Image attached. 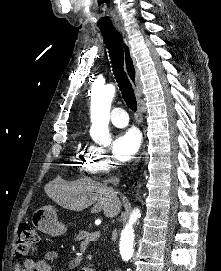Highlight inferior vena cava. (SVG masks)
<instances>
[{
    "mask_svg": "<svg viewBox=\"0 0 221 271\" xmlns=\"http://www.w3.org/2000/svg\"><path fill=\"white\" fill-rule=\"evenodd\" d=\"M107 183H113V185H118L120 179L119 177H111V179H106ZM106 197H117L114 187H106ZM116 271H122V269H116Z\"/></svg>",
    "mask_w": 221,
    "mask_h": 271,
    "instance_id": "602c4592",
    "label": "inferior vena cava"
}]
</instances>
